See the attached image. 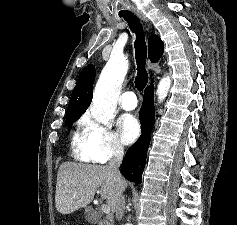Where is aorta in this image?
Masks as SVG:
<instances>
[{
  "label": "aorta",
  "instance_id": "1",
  "mask_svg": "<svg viewBox=\"0 0 237 225\" xmlns=\"http://www.w3.org/2000/svg\"><path fill=\"white\" fill-rule=\"evenodd\" d=\"M127 70L128 60L126 57L111 55L101 72L93 93L91 114L97 122L107 124L113 118L121 84ZM170 85L169 76L160 80L157 87V96L160 102L167 96Z\"/></svg>",
  "mask_w": 237,
  "mask_h": 225
}]
</instances>
